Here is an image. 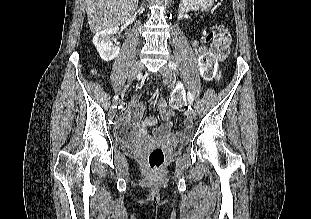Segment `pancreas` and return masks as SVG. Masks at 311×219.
Segmentation results:
<instances>
[{
	"label": "pancreas",
	"instance_id": "cf45deb5",
	"mask_svg": "<svg viewBox=\"0 0 311 219\" xmlns=\"http://www.w3.org/2000/svg\"><path fill=\"white\" fill-rule=\"evenodd\" d=\"M198 3V0H186V7L187 9H192L194 6H196Z\"/></svg>",
	"mask_w": 311,
	"mask_h": 219
}]
</instances>
